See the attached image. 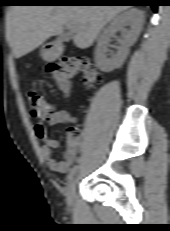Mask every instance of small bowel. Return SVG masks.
<instances>
[{"label":"small bowel","mask_w":170,"mask_h":231,"mask_svg":"<svg viewBox=\"0 0 170 231\" xmlns=\"http://www.w3.org/2000/svg\"><path fill=\"white\" fill-rule=\"evenodd\" d=\"M75 122V118L67 111H55L49 117L43 118L34 126L36 136L42 141L41 153L48 168L56 173H66L75 163L77 154L83 146L82 140L67 146L63 160L58 161L52 155V150L59 146L58 140L49 137L45 124L56 126L61 124H70Z\"/></svg>","instance_id":"1"}]
</instances>
